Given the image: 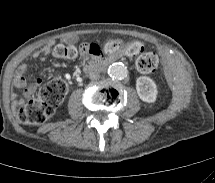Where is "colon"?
Returning a JSON list of instances; mask_svg holds the SVG:
<instances>
[{
    "label": "colon",
    "mask_w": 215,
    "mask_h": 183,
    "mask_svg": "<svg viewBox=\"0 0 215 183\" xmlns=\"http://www.w3.org/2000/svg\"><path fill=\"white\" fill-rule=\"evenodd\" d=\"M83 49L90 55L99 56L103 53L112 55L123 53L128 57H136V66L142 73H152L158 67V57L152 52H144L140 41L124 43L119 40H108L99 46L88 43ZM52 55L58 59H72L77 55V49L70 43H59L54 46ZM67 83L61 79L52 80L41 87L36 96L16 109L19 122L25 125H39L52 117L67 93Z\"/></svg>",
    "instance_id": "colon-1"
}]
</instances>
